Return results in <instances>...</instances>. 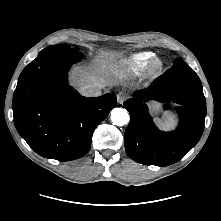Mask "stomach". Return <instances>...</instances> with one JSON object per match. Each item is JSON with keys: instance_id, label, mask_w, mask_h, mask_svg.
<instances>
[{"instance_id": "1", "label": "stomach", "mask_w": 221, "mask_h": 221, "mask_svg": "<svg viewBox=\"0 0 221 221\" xmlns=\"http://www.w3.org/2000/svg\"><path fill=\"white\" fill-rule=\"evenodd\" d=\"M151 108L154 112H159L161 110V106L158 104H152Z\"/></svg>"}]
</instances>
